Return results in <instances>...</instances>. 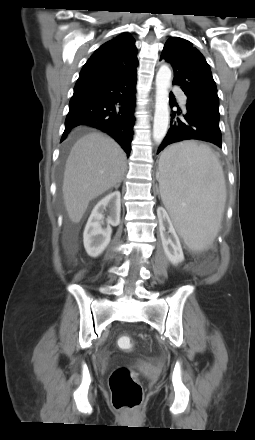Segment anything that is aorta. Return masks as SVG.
<instances>
[{
  "label": "aorta",
  "mask_w": 255,
  "mask_h": 440,
  "mask_svg": "<svg viewBox=\"0 0 255 440\" xmlns=\"http://www.w3.org/2000/svg\"><path fill=\"white\" fill-rule=\"evenodd\" d=\"M171 70L162 65L156 75V103L153 124V139L159 144L164 139L169 124V92Z\"/></svg>",
  "instance_id": "obj_1"
}]
</instances>
